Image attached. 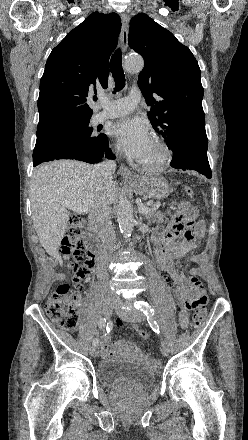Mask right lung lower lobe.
I'll use <instances>...</instances> for the list:
<instances>
[{"label": "right lung lower lobe", "instance_id": "right-lung-lower-lobe-1", "mask_svg": "<svg viewBox=\"0 0 248 440\" xmlns=\"http://www.w3.org/2000/svg\"><path fill=\"white\" fill-rule=\"evenodd\" d=\"M87 119L71 120L37 137L33 151V166L58 159H76L88 163H98L104 155L113 159L107 136L100 134L96 141L86 140L76 135V127Z\"/></svg>", "mask_w": 248, "mask_h": 440}]
</instances>
